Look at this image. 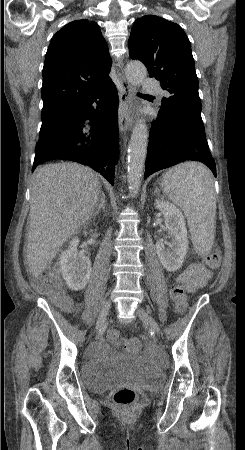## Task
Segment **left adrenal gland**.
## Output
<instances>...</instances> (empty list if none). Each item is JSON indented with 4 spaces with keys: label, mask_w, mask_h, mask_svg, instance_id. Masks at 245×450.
I'll return each mask as SVG.
<instances>
[{
    "label": "left adrenal gland",
    "mask_w": 245,
    "mask_h": 450,
    "mask_svg": "<svg viewBox=\"0 0 245 450\" xmlns=\"http://www.w3.org/2000/svg\"><path fill=\"white\" fill-rule=\"evenodd\" d=\"M159 192V189L157 187H155V191L153 192V194H157Z\"/></svg>",
    "instance_id": "a2214340"
}]
</instances>
